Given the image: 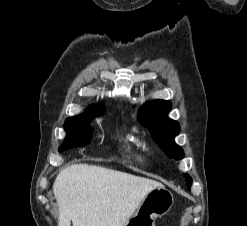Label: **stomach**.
I'll return each mask as SVG.
<instances>
[{
  "label": "stomach",
  "instance_id": "obj_1",
  "mask_svg": "<svg viewBox=\"0 0 247 226\" xmlns=\"http://www.w3.org/2000/svg\"><path fill=\"white\" fill-rule=\"evenodd\" d=\"M174 198L163 185L149 191L136 212L122 226H155V218L165 215L172 207Z\"/></svg>",
  "mask_w": 247,
  "mask_h": 226
}]
</instances>
